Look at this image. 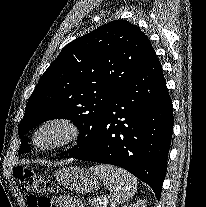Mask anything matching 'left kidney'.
Returning a JSON list of instances; mask_svg holds the SVG:
<instances>
[{
    "instance_id": "5707ae66",
    "label": "left kidney",
    "mask_w": 206,
    "mask_h": 207,
    "mask_svg": "<svg viewBox=\"0 0 206 207\" xmlns=\"http://www.w3.org/2000/svg\"><path fill=\"white\" fill-rule=\"evenodd\" d=\"M124 207H146V203L143 200H139L134 204H130L129 206H124Z\"/></svg>"
}]
</instances>
